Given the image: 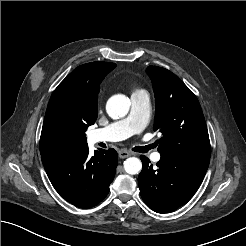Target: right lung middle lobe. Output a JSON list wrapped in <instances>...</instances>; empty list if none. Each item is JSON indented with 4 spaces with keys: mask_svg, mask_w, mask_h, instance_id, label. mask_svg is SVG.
Returning a JSON list of instances; mask_svg holds the SVG:
<instances>
[{
    "mask_svg": "<svg viewBox=\"0 0 246 246\" xmlns=\"http://www.w3.org/2000/svg\"><path fill=\"white\" fill-rule=\"evenodd\" d=\"M86 128L85 126L83 125H79V129L81 130V132L85 135V131H86Z\"/></svg>",
    "mask_w": 246,
    "mask_h": 246,
    "instance_id": "dd1d6c3e",
    "label": "right lung middle lobe"
}]
</instances>
